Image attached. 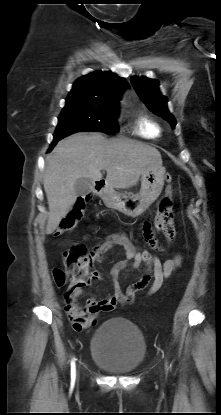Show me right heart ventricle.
<instances>
[{
    "label": "right heart ventricle",
    "instance_id": "right-heart-ventricle-1",
    "mask_svg": "<svg viewBox=\"0 0 221 415\" xmlns=\"http://www.w3.org/2000/svg\"><path fill=\"white\" fill-rule=\"evenodd\" d=\"M133 131L135 134L147 139H156L162 134V129L158 122L145 113H141L136 117Z\"/></svg>",
    "mask_w": 221,
    "mask_h": 415
}]
</instances>
